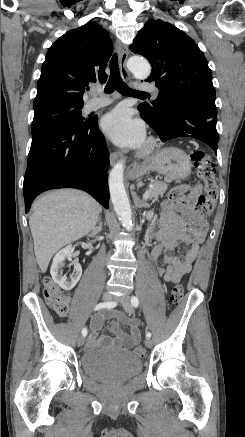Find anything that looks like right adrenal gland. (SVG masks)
I'll use <instances>...</instances> for the list:
<instances>
[{
	"instance_id": "right-adrenal-gland-1",
	"label": "right adrenal gland",
	"mask_w": 245,
	"mask_h": 437,
	"mask_svg": "<svg viewBox=\"0 0 245 437\" xmlns=\"http://www.w3.org/2000/svg\"><path fill=\"white\" fill-rule=\"evenodd\" d=\"M102 229V220H101V216L99 217V224L96 228H94L91 232V234H97L101 231Z\"/></svg>"
}]
</instances>
